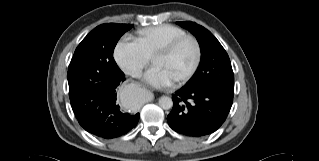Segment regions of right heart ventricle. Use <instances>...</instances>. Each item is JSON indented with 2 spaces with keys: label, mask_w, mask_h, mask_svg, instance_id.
Returning <instances> with one entry per match:
<instances>
[{
  "label": "right heart ventricle",
  "mask_w": 319,
  "mask_h": 161,
  "mask_svg": "<svg viewBox=\"0 0 319 161\" xmlns=\"http://www.w3.org/2000/svg\"><path fill=\"white\" fill-rule=\"evenodd\" d=\"M185 34L182 28L171 24H160L139 30L135 42L145 56L152 59L163 45Z\"/></svg>",
  "instance_id": "1"
}]
</instances>
